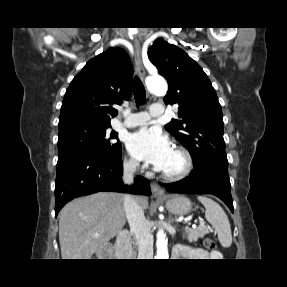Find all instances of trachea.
I'll use <instances>...</instances> for the list:
<instances>
[{
	"instance_id": "1",
	"label": "trachea",
	"mask_w": 287,
	"mask_h": 287,
	"mask_svg": "<svg viewBox=\"0 0 287 287\" xmlns=\"http://www.w3.org/2000/svg\"><path fill=\"white\" fill-rule=\"evenodd\" d=\"M133 94L135 97L136 104L143 105L146 102V91L143 83L140 81L138 77H136L133 81Z\"/></svg>"
}]
</instances>
